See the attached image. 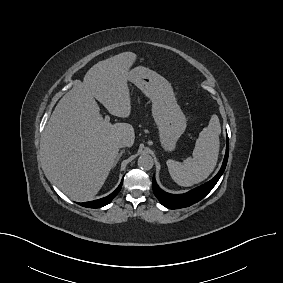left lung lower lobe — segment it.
Instances as JSON below:
<instances>
[{
  "label": "left lung lower lobe",
  "instance_id": "1",
  "mask_svg": "<svg viewBox=\"0 0 283 283\" xmlns=\"http://www.w3.org/2000/svg\"><path fill=\"white\" fill-rule=\"evenodd\" d=\"M229 154V141L227 136V145H226V153L224 157V161L221 169L217 173V175L211 179L209 182L187 192L184 194H169L163 191L156 183L155 178L153 177L152 185L155 196L158 198L160 203L169 208V209H178L191 206L194 203H197L201 199H203L216 185L220 177L222 176L226 164L228 161Z\"/></svg>",
  "mask_w": 283,
  "mask_h": 283
}]
</instances>
